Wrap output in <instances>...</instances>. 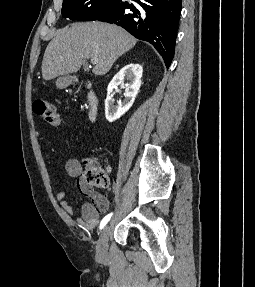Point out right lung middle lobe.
I'll list each match as a JSON object with an SVG mask.
<instances>
[{
  "label": "right lung middle lobe",
  "mask_w": 255,
  "mask_h": 287,
  "mask_svg": "<svg viewBox=\"0 0 255 287\" xmlns=\"http://www.w3.org/2000/svg\"><path fill=\"white\" fill-rule=\"evenodd\" d=\"M122 0H63L62 15L71 20H99Z\"/></svg>",
  "instance_id": "1"
}]
</instances>
